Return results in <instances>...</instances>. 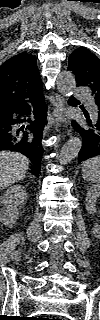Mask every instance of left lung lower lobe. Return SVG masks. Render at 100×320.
I'll return each mask as SVG.
<instances>
[{"mask_svg":"<svg viewBox=\"0 0 100 320\" xmlns=\"http://www.w3.org/2000/svg\"><path fill=\"white\" fill-rule=\"evenodd\" d=\"M69 104L76 106L77 103L73 100ZM88 121L87 126H80L75 121L72 122L73 128L82 136L83 144L78 154V162H82L94 156L100 155V108L94 116L93 121L86 114Z\"/></svg>","mask_w":100,"mask_h":320,"instance_id":"1","label":"left lung lower lobe"}]
</instances>
